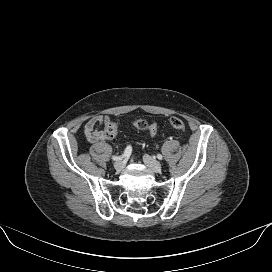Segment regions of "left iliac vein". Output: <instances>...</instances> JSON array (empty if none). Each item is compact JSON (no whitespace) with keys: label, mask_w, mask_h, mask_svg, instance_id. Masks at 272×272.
I'll return each instance as SVG.
<instances>
[{"label":"left iliac vein","mask_w":272,"mask_h":272,"mask_svg":"<svg viewBox=\"0 0 272 272\" xmlns=\"http://www.w3.org/2000/svg\"><path fill=\"white\" fill-rule=\"evenodd\" d=\"M143 161L145 163V165L152 170L153 172H160L162 169V165L160 162H158L157 160H155L154 158H152L151 156L145 154L143 156Z\"/></svg>","instance_id":"1"}]
</instances>
